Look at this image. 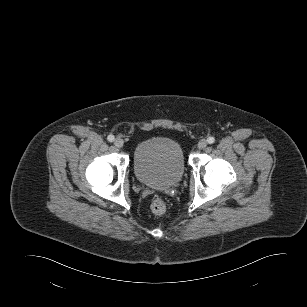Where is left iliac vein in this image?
Segmentation results:
<instances>
[{
  "label": "left iliac vein",
  "instance_id": "obj_1",
  "mask_svg": "<svg viewBox=\"0 0 307 307\" xmlns=\"http://www.w3.org/2000/svg\"><path fill=\"white\" fill-rule=\"evenodd\" d=\"M206 146H207L206 140H201L197 145L198 149H204Z\"/></svg>",
  "mask_w": 307,
  "mask_h": 307
}]
</instances>
